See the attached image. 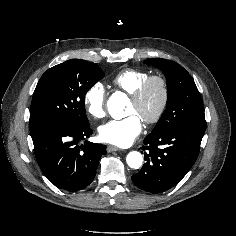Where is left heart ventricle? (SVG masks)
<instances>
[{
    "instance_id": "obj_1",
    "label": "left heart ventricle",
    "mask_w": 236,
    "mask_h": 236,
    "mask_svg": "<svg viewBox=\"0 0 236 236\" xmlns=\"http://www.w3.org/2000/svg\"><path fill=\"white\" fill-rule=\"evenodd\" d=\"M160 99V88L157 84H153L141 103L137 104L130 100L128 113L137 114L140 118L151 116L157 110Z\"/></svg>"
}]
</instances>
